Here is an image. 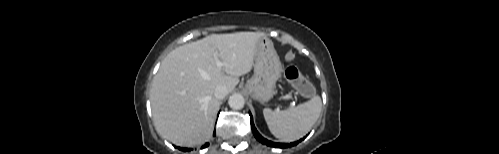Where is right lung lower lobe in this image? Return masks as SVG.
I'll list each match as a JSON object with an SVG mask.
<instances>
[{
  "label": "right lung lower lobe",
  "instance_id": "right-lung-lower-lobe-1",
  "mask_svg": "<svg viewBox=\"0 0 499 154\" xmlns=\"http://www.w3.org/2000/svg\"><path fill=\"white\" fill-rule=\"evenodd\" d=\"M214 135H215V132H214ZM207 146H208V143H206V144L203 146V148H205V147H207ZM178 148H179L181 151H189V150H191V149H189V148H180V147H178Z\"/></svg>",
  "mask_w": 499,
  "mask_h": 154
}]
</instances>
